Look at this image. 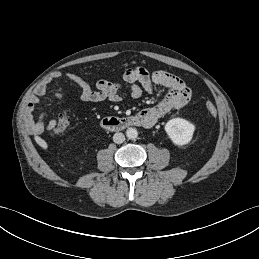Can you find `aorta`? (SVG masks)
Returning <instances> with one entry per match:
<instances>
[{
  "label": "aorta",
  "instance_id": "762f6f07",
  "mask_svg": "<svg viewBox=\"0 0 259 259\" xmlns=\"http://www.w3.org/2000/svg\"><path fill=\"white\" fill-rule=\"evenodd\" d=\"M126 136L128 139H136L138 136V131L135 128L130 127L126 130Z\"/></svg>",
  "mask_w": 259,
  "mask_h": 259
}]
</instances>
